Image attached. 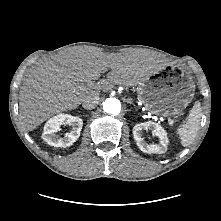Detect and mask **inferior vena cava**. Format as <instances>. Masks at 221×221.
Segmentation results:
<instances>
[{
    "mask_svg": "<svg viewBox=\"0 0 221 221\" xmlns=\"http://www.w3.org/2000/svg\"><path fill=\"white\" fill-rule=\"evenodd\" d=\"M99 99L98 94L89 95L83 100L82 106L87 110H92L98 105Z\"/></svg>",
    "mask_w": 221,
    "mask_h": 221,
    "instance_id": "1",
    "label": "inferior vena cava"
}]
</instances>
